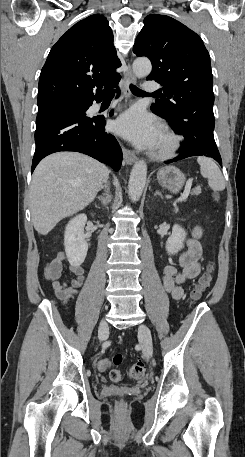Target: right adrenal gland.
Returning a JSON list of instances; mask_svg holds the SVG:
<instances>
[{
  "label": "right adrenal gland",
  "mask_w": 245,
  "mask_h": 457,
  "mask_svg": "<svg viewBox=\"0 0 245 457\" xmlns=\"http://www.w3.org/2000/svg\"><path fill=\"white\" fill-rule=\"evenodd\" d=\"M107 192H109V190H107ZM97 198L101 200V204H103V206H107L108 202L111 200V194H107V196H97Z\"/></svg>",
  "instance_id": "2a0ac1e0"
}]
</instances>
